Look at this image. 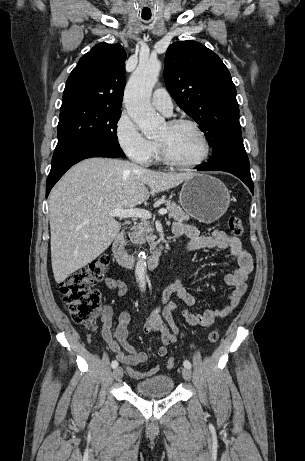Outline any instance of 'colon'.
Returning a JSON list of instances; mask_svg holds the SVG:
<instances>
[{"mask_svg":"<svg viewBox=\"0 0 305 461\" xmlns=\"http://www.w3.org/2000/svg\"><path fill=\"white\" fill-rule=\"evenodd\" d=\"M228 227L236 236H241L244 232L242 222L237 217H231L228 220ZM109 265L110 258L107 255H101L61 282L60 293L63 296V302L76 324L88 329L96 327L101 294L93 285L105 277ZM218 339V330H211L208 334L209 342L216 343ZM166 367L173 369L175 359L169 358Z\"/></svg>","mask_w":305,"mask_h":461,"instance_id":"1","label":"colon"}]
</instances>
